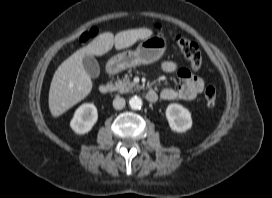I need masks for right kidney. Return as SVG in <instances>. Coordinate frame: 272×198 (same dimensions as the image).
<instances>
[{
    "mask_svg": "<svg viewBox=\"0 0 272 198\" xmlns=\"http://www.w3.org/2000/svg\"><path fill=\"white\" fill-rule=\"evenodd\" d=\"M97 108L92 103L82 104L74 113L70 122L72 130L77 134L88 133L97 122Z\"/></svg>",
    "mask_w": 272,
    "mask_h": 198,
    "instance_id": "ca27d5eb",
    "label": "right kidney"
}]
</instances>
